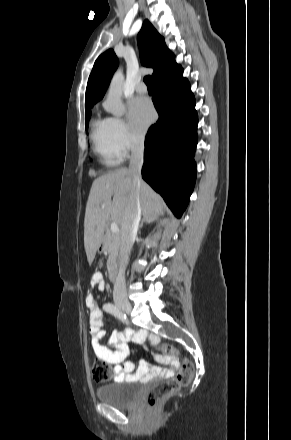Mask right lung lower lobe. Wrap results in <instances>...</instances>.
Wrapping results in <instances>:
<instances>
[{
	"label": "right lung lower lobe",
	"instance_id": "obj_1",
	"mask_svg": "<svg viewBox=\"0 0 291 440\" xmlns=\"http://www.w3.org/2000/svg\"><path fill=\"white\" fill-rule=\"evenodd\" d=\"M182 72L180 66L153 81L159 119L147 132L142 168L143 179L178 218L195 185L198 124L195 98Z\"/></svg>",
	"mask_w": 291,
	"mask_h": 440
}]
</instances>
